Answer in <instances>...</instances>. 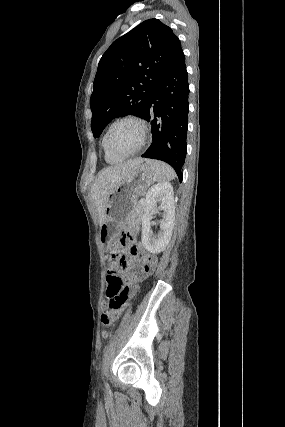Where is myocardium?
<instances>
[{"instance_id": "1", "label": "myocardium", "mask_w": 285, "mask_h": 427, "mask_svg": "<svg viewBox=\"0 0 285 427\" xmlns=\"http://www.w3.org/2000/svg\"><path fill=\"white\" fill-rule=\"evenodd\" d=\"M122 122H133L136 125H138V127L140 128V131H141V139H140L139 144L132 151L127 152V153H122V152L115 151V150H113L111 148V146L109 144V135H110V132H111L112 128L115 125H117L119 123H122ZM147 137H148V126H147L146 122L142 118H140V117L133 116V115H128V116L120 117V118L114 120L110 124V126L108 127V129H107V131L105 133L104 142H105L106 148L108 149V151L110 153H112V154H114L116 156L122 157V158H126V157L133 156L137 152H139L144 147V145L146 144Z\"/></svg>"}]
</instances>
